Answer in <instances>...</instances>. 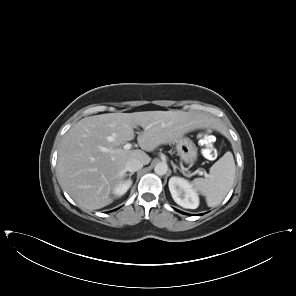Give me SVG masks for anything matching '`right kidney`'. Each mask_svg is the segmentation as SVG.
<instances>
[{
	"label": "right kidney",
	"instance_id": "ca27d5eb",
	"mask_svg": "<svg viewBox=\"0 0 296 296\" xmlns=\"http://www.w3.org/2000/svg\"><path fill=\"white\" fill-rule=\"evenodd\" d=\"M132 185V181L129 179V180H126V181H123L121 182L120 184H118L115 188H114V195L116 197H121L123 196L127 191L128 189L131 187Z\"/></svg>",
	"mask_w": 296,
	"mask_h": 296
}]
</instances>
